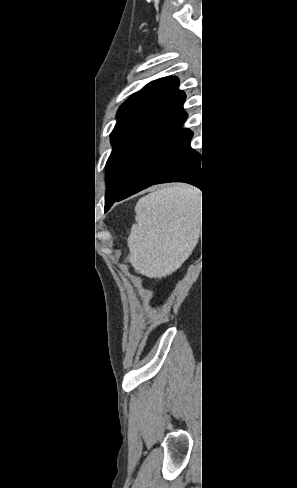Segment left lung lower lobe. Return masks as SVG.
I'll list each match as a JSON object with an SVG mask.
<instances>
[{
    "label": "left lung lower lobe",
    "mask_w": 297,
    "mask_h": 488,
    "mask_svg": "<svg viewBox=\"0 0 297 488\" xmlns=\"http://www.w3.org/2000/svg\"><path fill=\"white\" fill-rule=\"evenodd\" d=\"M192 135L189 129H184L164 145L141 167L121 194L106 205L105 212L114 202L159 183L185 182L204 193V169L200 166V154L190 147Z\"/></svg>",
    "instance_id": "left-lung-lower-lobe-1"
}]
</instances>
